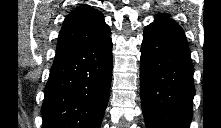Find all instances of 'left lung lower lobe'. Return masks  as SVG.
Masks as SVG:
<instances>
[{"label": "left lung lower lobe", "instance_id": "0a47b994", "mask_svg": "<svg viewBox=\"0 0 221 128\" xmlns=\"http://www.w3.org/2000/svg\"><path fill=\"white\" fill-rule=\"evenodd\" d=\"M193 66L182 28L158 15L143 34L140 92L146 128H189L193 116Z\"/></svg>", "mask_w": 221, "mask_h": 128}]
</instances>
